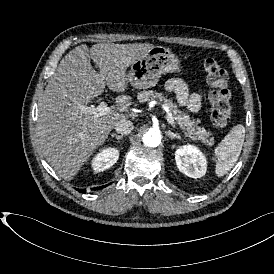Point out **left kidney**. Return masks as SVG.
I'll use <instances>...</instances> for the list:
<instances>
[{
	"mask_svg": "<svg viewBox=\"0 0 274 274\" xmlns=\"http://www.w3.org/2000/svg\"><path fill=\"white\" fill-rule=\"evenodd\" d=\"M178 169L190 178H200L206 172V158L193 146H184L175 152Z\"/></svg>",
	"mask_w": 274,
	"mask_h": 274,
	"instance_id": "obj_1",
	"label": "left kidney"
}]
</instances>
